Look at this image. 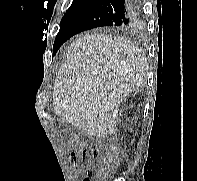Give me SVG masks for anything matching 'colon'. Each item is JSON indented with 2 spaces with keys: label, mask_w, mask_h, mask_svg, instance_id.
Wrapping results in <instances>:
<instances>
[{
  "label": "colon",
  "mask_w": 197,
  "mask_h": 181,
  "mask_svg": "<svg viewBox=\"0 0 197 181\" xmlns=\"http://www.w3.org/2000/svg\"><path fill=\"white\" fill-rule=\"evenodd\" d=\"M117 166L114 151L111 149L101 150L97 155L92 157V177L96 180L106 179ZM84 181H91L85 179Z\"/></svg>",
  "instance_id": "5ec220e1"
}]
</instances>
